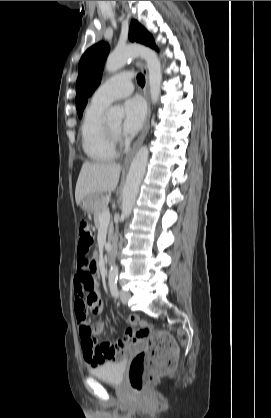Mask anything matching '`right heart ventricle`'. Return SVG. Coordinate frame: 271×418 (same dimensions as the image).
I'll list each match as a JSON object with an SVG mask.
<instances>
[{"mask_svg":"<svg viewBox=\"0 0 271 418\" xmlns=\"http://www.w3.org/2000/svg\"><path fill=\"white\" fill-rule=\"evenodd\" d=\"M107 105L91 102L81 124L82 148L94 162H107L117 157L115 145L106 137L103 114Z\"/></svg>","mask_w":271,"mask_h":418,"instance_id":"right-heart-ventricle-1","label":"right heart ventricle"}]
</instances>
